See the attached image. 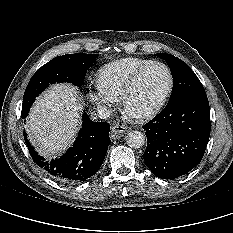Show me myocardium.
Instances as JSON below:
<instances>
[{
	"instance_id": "myocardium-1",
	"label": "myocardium",
	"mask_w": 233,
	"mask_h": 233,
	"mask_svg": "<svg viewBox=\"0 0 233 233\" xmlns=\"http://www.w3.org/2000/svg\"><path fill=\"white\" fill-rule=\"evenodd\" d=\"M152 66H161L166 70L168 77H169L168 87H167L165 93L163 94V96L158 100V102L155 105H153L151 108H149L148 110H146L144 112L132 114L127 110V98L130 95V93L133 91V89L136 87V85L138 84V82H139L140 78L142 77V75L144 74V72ZM173 87H174V76H173V73H172V70L170 69V67L163 62L152 61V62L142 66L141 68H139L132 75V77L129 79V81L127 82V84L123 88L121 95H120V102H121L122 108L129 116H131L135 120L144 121V120L150 119L153 116H155L162 109V107L164 106V104L166 103L168 98L170 97L172 90H173Z\"/></svg>"
}]
</instances>
